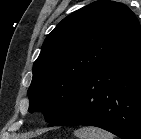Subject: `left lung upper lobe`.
<instances>
[{
	"label": "left lung upper lobe",
	"mask_w": 141,
	"mask_h": 139,
	"mask_svg": "<svg viewBox=\"0 0 141 139\" xmlns=\"http://www.w3.org/2000/svg\"><path fill=\"white\" fill-rule=\"evenodd\" d=\"M141 32L124 4L100 0L64 18L46 37L33 65L29 111L42 110L47 122L68 105L86 78Z\"/></svg>",
	"instance_id": "1"
}]
</instances>
